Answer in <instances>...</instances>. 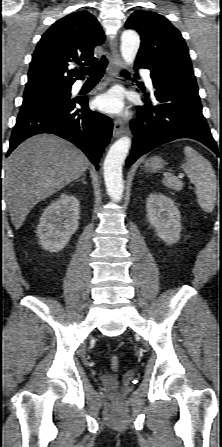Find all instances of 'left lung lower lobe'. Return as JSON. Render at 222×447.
<instances>
[{
	"label": "left lung lower lobe",
	"mask_w": 222,
	"mask_h": 447,
	"mask_svg": "<svg viewBox=\"0 0 222 447\" xmlns=\"http://www.w3.org/2000/svg\"><path fill=\"white\" fill-rule=\"evenodd\" d=\"M135 65L149 69L144 63L135 62ZM151 78L154 97L144 94L145 106L139 107V116L130 124L134 139L126 166L159 145L179 138L197 140L219 155L220 149L202 114L200 97L153 73Z\"/></svg>",
	"instance_id": "left-lung-lower-lobe-1"
}]
</instances>
